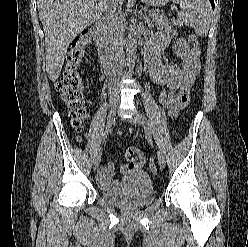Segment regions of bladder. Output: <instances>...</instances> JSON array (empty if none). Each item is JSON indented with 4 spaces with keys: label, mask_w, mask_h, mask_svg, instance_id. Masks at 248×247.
Wrapping results in <instances>:
<instances>
[{
    "label": "bladder",
    "mask_w": 248,
    "mask_h": 247,
    "mask_svg": "<svg viewBox=\"0 0 248 247\" xmlns=\"http://www.w3.org/2000/svg\"><path fill=\"white\" fill-rule=\"evenodd\" d=\"M156 190L149 174L142 170L133 171L130 178L124 186L123 192L113 193L102 190L101 195L107 202L123 207L146 206L154 198Z\"/></svg>",
    "instance_id": "obj_1"
}]
</instances>
